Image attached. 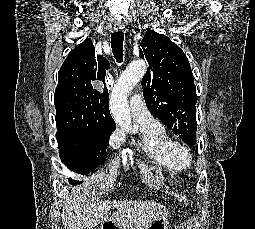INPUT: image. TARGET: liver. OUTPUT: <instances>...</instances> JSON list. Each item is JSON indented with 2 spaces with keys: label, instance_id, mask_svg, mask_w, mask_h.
Here are the masks:
<instances>
[{
  "label": "liver",
  "instance_id": "1",
  "mask_svg": "<svg viewBox=\"0 0 255 229\" xmlns=\"http://www.w3.org/2000/svg\"><path fill=\"white\" fill-rule=\"evenodd\" d=\"M93 195L91 184L72 189L71 199L66 201L61 214L65 229H91L107 221L122 229H144L153 220L168 213L164 205L153 200L96 201L92 199ZM111 208L117 211L109 217Z\"/></svg>",
  "mask_w": 255,
  "mask_h": 229
}]
</instances>
